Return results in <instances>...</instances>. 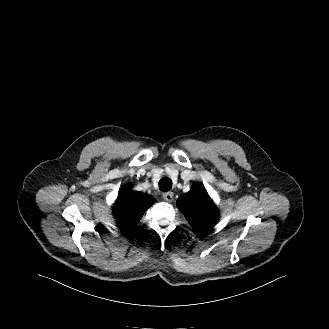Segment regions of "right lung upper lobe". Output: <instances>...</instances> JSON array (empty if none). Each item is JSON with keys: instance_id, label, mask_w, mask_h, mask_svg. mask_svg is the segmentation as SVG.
Returning a JSON list of instances; mask_svg holds the SVG:
<instances>
[{"instance_id": "right-lung-upper-lobe-1", "label": "right lung upper lobe", "mask_w": 329, "mask_h": 329, "mask_svg": "<svg viewBox=\"0 0 329 329\" xmlns=\"http://www.w3.org/2000/svg\"><path fill=\"white\" fill-rule=\"evenodd\" d=\"M154 200L141 192H135L130 186H124L113 205V212L120 229L130 232L140 221L144 212Z\"/></svg>"}]
</instances>
